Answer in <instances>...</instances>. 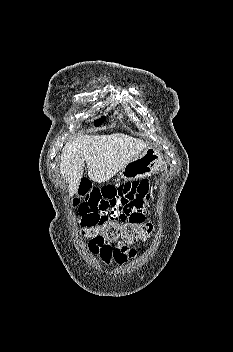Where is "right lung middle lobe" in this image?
<instances>
[{
    "label": "right lung middle lobe",
    "mask_w": 233,
    "mask_h": 352,
    "mask_svg": "<svg viewBox=\"0 0 233 352\" xmlns=\"http://www.w3.org/2000/svg\"><path fill=\"white\" fill-rule=\"evenodd\" d=\"M104 118H105V116H103V117H101L100 119L96 120V121H95V125H96V126H99V125L103 122Z\"/></svg>",
    "instance_id": "dd1d6c3e"
}]
</instances>
